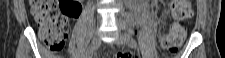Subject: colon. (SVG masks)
I'll return each mask as SVG.
<instances>
[{
    "label": "colon",
    "mask_w": 225,
    "mask_h": 58,
    "mask_svg": "<svg viewBox=\"0 0 225 58\" xmlns=\"http://www.w3.org/2000/svg\"><path fill=\"white\" fill-rule=\"evenodd\" d=\"M31 12L37 22L41 40L52 51L63 48L69 33L68 17H77L81 12L79 1L73 0H34ZM191 0L171 1V16L175 23L170 31L161 37L160 44L166 54L172 55L179 51L184 42V27L179 21L190 17ZM129 50H122L116 58H133Z\"/></svg>",
    "instance_id": "5ec220e1"
}]
</instances>
